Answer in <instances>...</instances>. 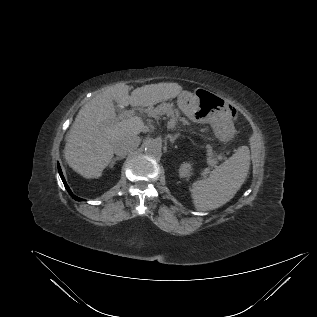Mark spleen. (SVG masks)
<instances>
[{"mask_svg":"<svg viewBox=\"0 0 317 317\" xmlns=\"http://www.w3.org/2000/svg\"><path fill=\"white\" fill-rule=\"evenodd\" d=\"M250 167V151L242 146L228 160L211 171L207 179L195 181L191 196L198 211L216 209L229 200L240 189Z\"/></svg>","mask_w":317,"mask_h":317,"instance_id":"spleen-1","label":"spleen"}]
</instances>
